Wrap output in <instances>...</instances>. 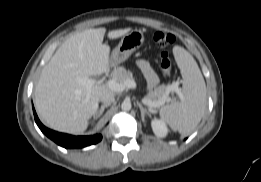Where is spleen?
I'll return each mask as SVG.
<instances>
[{
	"instance_id": "obj_1",
	"label": "spleen",
	"mask_w": 261,
	"mask_h": 182,
	"mask_svg": "<svg viewBox=\"0 0 261 182\" xmlns=\"http://www.w3.org/2000/svg\"><path fill=\"white\" fill-rule=\"evenodd\" d=\"M183 79L180 101L160 109V117L174 131L190 134L200 123L206 108V84L192 55L180 46L173 49Z\"/></svg>"
}]
</instances>
